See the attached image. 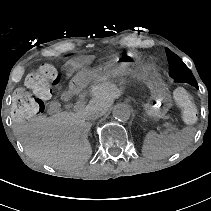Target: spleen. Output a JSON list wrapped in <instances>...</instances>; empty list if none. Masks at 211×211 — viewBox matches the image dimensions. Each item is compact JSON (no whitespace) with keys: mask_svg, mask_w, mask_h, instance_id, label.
<instances>
[{"mask_svg":"<svg viewBox=\"0 0 211 211\" xmlns=\"http://www.w3.org/2000/svg\"><path fill=\"white\" fill-rule=\"evenodd\" d=\"M195 133L194 127H185L171 134H157L155 131H150L144 139L142 153L156 160L169 157L187 147L193 141Z\"/></svg>","mask_w":211,"mask_h":211,"instance_id":"1","label":"spleen"}]
</instances>
